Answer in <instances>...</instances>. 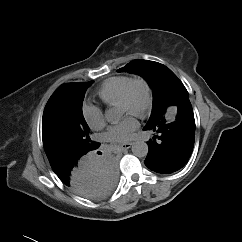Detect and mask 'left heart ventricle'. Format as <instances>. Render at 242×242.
<instances>
[{"label": "left heart ventricle", "instance_id": "obj_1", "mask_svg": "<svg viewBox=\"0 0 242 242\" xmlns=\"http://www.w3.org/2000/svg\"><path fill=\"white\" fill-rule=\"evenodd\" d=\"M145 90L142 85H136L131 93V99L129 105H119L120 113L123 115L125 113L133 114L135 111L140 109L145 103Z\"/></svg>", "mask_w": 242, "mask_h": 242}]
</instances>
